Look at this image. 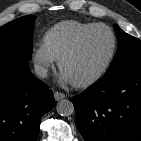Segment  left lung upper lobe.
<instances>
[{
	"mask_svg": "<svg viewBox=\"0 0 141 141\" xmlns=\"http://www.w3.org/2000/svg\"><path fill=\"white\" fill-rule=\"evenodd\" d=\"M118 49L116 55L105 73L109 75L134 65H141V41L125 33L118 25H114Z\"/></svg>",
	"mask_w": 141,
	"mask_h": 141,
	"instance_id": "left-lung-upper-lobe-1",
	"label": "left lung upper lobe"
}]
</instances>
